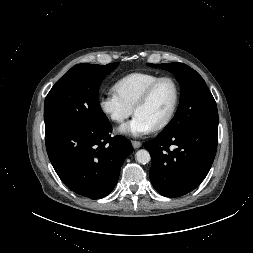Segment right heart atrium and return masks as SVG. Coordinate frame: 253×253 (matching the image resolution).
Listing matches in <instances>:
<instances>
[{
    "label": "right heart atrium",
    "mask_w": 253,
    "mask_h": 253,
    "mask_svg": "<svg viewBox=\"0 0 253 253\" xmlns=\"http://www.w3.org/2000/svg\"><path fill=\"white\" fill-rule=\"evenodd\" d=\"M98 105L102 113L115 123H123L133 112L115 91H109L99 96Z\"/></svg>",
    "instance_id": "1"
}]
</instances>
